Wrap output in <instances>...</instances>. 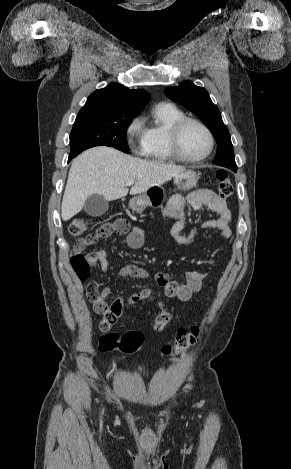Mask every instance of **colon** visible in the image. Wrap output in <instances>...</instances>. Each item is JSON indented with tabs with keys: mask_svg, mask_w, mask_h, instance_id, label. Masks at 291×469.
Segmentation results:
<instances>
[{
	"mask_svg": "<svg viewBox=\"0 0 291 469\" xmlns=\"http://www.w3.org/2000/svg\"><path fill=\"white\" fill-rule=\"evenodd\" d=\"M217 178V191L218 197L222 200L228 198L233 192V185L228 173L225 170H218ZM87 229V222L84 218H74L68 225L69 233L74 237H80L76 249L71 253V265L77 274L78 278L85 281L90 276V267L93 265L92 261L87 255L82 253V250L103 237L104 230L99 227L94 232L83 236ZM87 296L93 301L98 294V286L95 282H90L87 285ZM115 300L111 302V307L103 311V317L100 322V330L103 335L99 339V350L101 352H109L119 350L126 354H134L141 350L144 336L138 331H129L122 336L116 333L109 332L110 327L117 319L122 317L123 305L126 301L125 293H116ZM157 300L166 301L168 296L166 294L157 295ZM170 321V314L162 309L155 319L153 328L156 332L163 331ZM199 334L197 327H192L190 330L180 329L177 332L175 343L173 345H165L162 348L164 355H179L195 343Z\"/></svg>",
	"mask_w": 291,
	"mask_h": 469,
	"instance_id": "colon-1",
	"label": "colon"
}]
</instances>
